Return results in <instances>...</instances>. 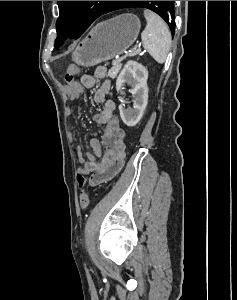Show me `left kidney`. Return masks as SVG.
I'll return each instance as SVG.
<instances>
[{"mask_svg": "<svg viewBox=\"0 0 237 300\" xmlns=\"http://www.w3.org/2000/svg\"><path fill=\"white\" fill-rule=\"evenodd\" d=\"M148 71L146 67L136 63V61H128L124 65L121 73H119L116 81V91L119 95H126L124 89L125 83L131 85L129 93H132L133 109H124L123 105H119L120 117L127 127H135L139 123L148 103V87H147ZM123 99V97H120ZM123 103V101H121Z\"/></svg>", "mask_w": 237, "mask_h": 300, "instance_id": "1", "label": "left kidney"}]
</instances>
